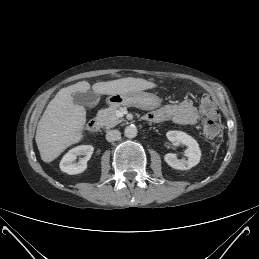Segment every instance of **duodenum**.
Segmentation results:
<instances>
[{"label": "duodenum", "mask_w": 259, "mask_h": 259, "mask_svg": "<svg viewBox=\"0 0 259 259\" xmlns=\"http://www.w3.org/2000/svg\"><path fill=\"white\" fill-rule=\"evenodd\" d=\"M100 127H101V124H100L99 119H97V118L90 120L87 125L88 130L92 133L98 132Z\"/></svg>", "instance_id": "410a0bca"}]
</instances>
